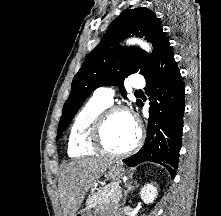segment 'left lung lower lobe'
Wrapping results in <instances>:
<instances>
[{
	"label": "left lung lower lobe",
	"instance_id": "0a47b994",
	"mask_svg": "<svg viewBox=\"0 0 221 216\" xmlns=\"http://www.w3.org/2000/svg\"><path fill=\"white\" fill-rule=\"evenodd\" d=\"M144 77L145 92L150 96L147 139L139 152L123 162L129 166L142 161L160 163L174 178L181 148L185 86L169 41L163 44Z\"/></svg>",
	"mask_w": 221,
	"mask_h": 216
}]
</instances>
